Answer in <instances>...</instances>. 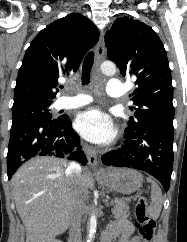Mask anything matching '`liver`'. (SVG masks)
I'll use <instances>...</instances> for the list:
<instances>
[{
	"label": "liver",
	"mask_w": 187,
	"mask_h": 242,
	"mask_svg": "<svg viewBox=\"0 0 187 242\" xmlns=\"http://www.w3.org/2000/svg\"><path fill=\"white\" fill-rule=\"evenodd\" d=\"M67 167L65 160L37 157L12 177V195L26 229V242L53 241L69 227L76 199H86L91 173L85 170L72 180L66 175Z\"/></svg>",
	"instance_id": "1"
}]
</instances>
